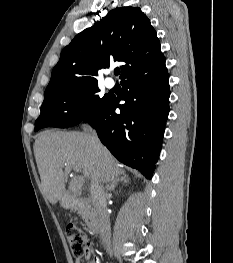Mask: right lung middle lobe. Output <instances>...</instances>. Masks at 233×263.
Segmentation results:
<instances>
[{
	"label": "right lung middle lobe",
	"mask_w": 233,
	"mask_h": 263,
	"mask_svg": "<svg viewBox=\"0 0 233 263\" xmlns=\"http://www.w3.org/2000/svg\"><path fill=\"white\" fill-rule=\"evenodd\" d=\"M97 92L99 88L95 84L46 97L34 130L51 126L66 128L79 124L108 100L109 96L100 98Z\"/></svg>",
	"instance_id": "1"
}]
</instances>
